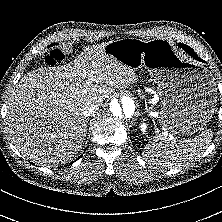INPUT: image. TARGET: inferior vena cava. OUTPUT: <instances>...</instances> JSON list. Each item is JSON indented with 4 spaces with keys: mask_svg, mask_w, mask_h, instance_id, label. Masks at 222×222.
<instances>
[{
    "mask_svg": "<svg viewBox=\"0 0 222 222\" xmlns=\"http://www.w3.org/2000/svg\"><path fill=\"white\" fill-rule=\"evenodd\" d=\"M99 109V105L96 104V103H93V102H88L85 104V106L83 107V110H82V114L85 116V117H88L90 116L91 114H93L96 110Z\"/></svg>",
    "mask_w": 222,
    "mask_h": 222,
    "instance_id": "1",
    "label": "inferior vena cava"
}]
</instances>
